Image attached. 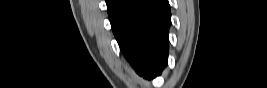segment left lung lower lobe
<instances>
[{
	"label": "left lung lower lobe",
	"mask_w": 267,
	"mask_h": 88,
	"mask_svg": "<svg viewBox=\"0 0 267 88\" xmlns=\"http://www.w3.org/2000/svg\"><path fill=\"white\" fill-rule=\"evenodd\" d=\"M113 33L138 74L154 78L166 65L171 14L167 0H106Z\"/></svg>",
	"instance_id": "left-lung-lower-lobe-1"
}]
</instances>
